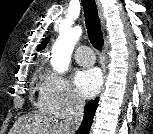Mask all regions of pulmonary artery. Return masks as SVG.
Returning <instances> with one entry per match:
<instances>
[{"instance_id": "e3ab8cb5", "label": "pulmonary artery", "mask_w": 153, "mask_h": 134, "mask_svg": "<svg viewBox=\"0 0 153 134\" xmlns=\"http://www.w3.org/2000/svg\"><path fill=\"white\" fill-rule=\"evenodd\" d=\"M75 59L84 66H90L95 61L94 54L88 46H80L75 52Z\"/></svg>"}]
</instances>
